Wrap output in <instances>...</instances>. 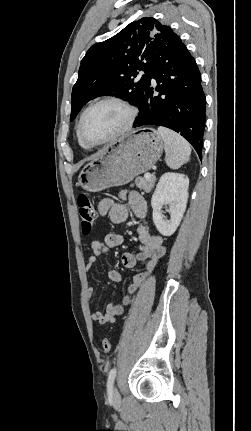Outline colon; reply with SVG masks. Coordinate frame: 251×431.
<instances>
[{
  "instance_id": "1",
  "label": "colon",
  "mask_w": 251,
  "mask_h": 431,
  "mask_svg": "<svg viewBox=\"0 0 251 431\" xmlns=\"http://www.w3.org/2000/svg\"><path fill=\"white\" fill-rule=\"evenodd\" d=\"M78 210H79V216L81 220V230L83 235H89L95 225L96 221V209L89 199V197L81 193L78 196ZM102 348L105 353H109L111 350V343L108 338H104L102 340Z\"/></svg>"
}]
</instances>
